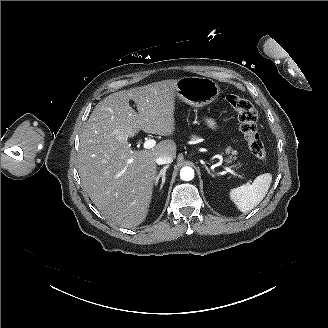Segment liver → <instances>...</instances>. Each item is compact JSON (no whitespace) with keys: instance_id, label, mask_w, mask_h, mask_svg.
<instances>
[{"instance_id":"obj_1","label":"liver","mask_w":328,"mask_h":328,"mask_svg":"<svg viewBox=\"0 0 328 328\" xmlns=\"http://www.w3.org/2000/svg\"><path fill=\"white\" fill-rule=\"evenodd\" d=\"M176 81L164 80L110 94L91 113L82 134L78 169L95 206L124 228L142 223L148 213L156 159L176 158V144L163 140L148 150H132L128 138L140 130L169 136L175 130ZM137 105L138 113L129 105Z\"/></svg>"}]
</instances>
